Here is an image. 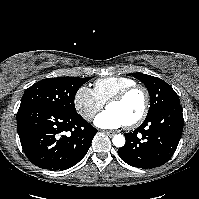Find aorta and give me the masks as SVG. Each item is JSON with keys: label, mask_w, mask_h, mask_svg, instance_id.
Listing matches in <instances>:
<instances>
[{"label": "aorta", "mask_w": 199, "mask_h": 199, "mask_svg": "<svg viewBox=\"0 0 199 199\" xmlns=\"http://www.w3.org/2000/svg\"><path fill=\"white\" fill-rule=\"evenodd\" d=\"M113 145L116 147H123L125 145V137L121 134L115 135L112 139Z\"/></svg>", "instance_id": "762f6f07"}]
</instances>
